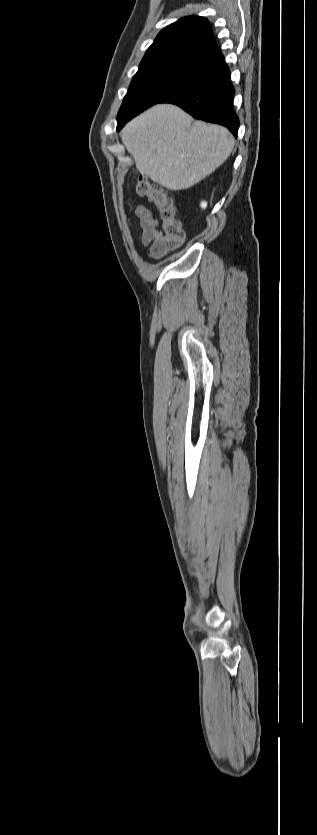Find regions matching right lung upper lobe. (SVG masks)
I'll list each match as a JSON object with an SVG mask.
<instances>
[{
  "label": "right lung upper lobe",
  "mask_w": 317,
  "mask_h": 835,
  "mask_svg": "<svg viewBox=\"0 0 317 835\" xmlns=\"http://www.w3.org/2000/svg\"><path fill=\"white\" fill-rule=\"evenodd\" d=\"M215 50L217 46L209 21L199 16L185 17L158 34L143 57L139 70Z\"/></svg>",
  "instance_id": "obj_1"
}]
</instances>
